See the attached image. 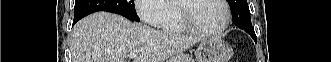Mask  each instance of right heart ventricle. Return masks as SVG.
<instances>
[{"instance_id":"1","label":"right heart ventricle","mask_w":331,"mask_h":62,"mask_svg":"<svg viewBox=\"0 0 331 62\" xmlns=\"http://www.w3.org/2000/svg\"><path fill=\"white\" fill-rule=\"evenodd\" d=\"M164 8L168 12V20L160 29L165 32H184L186 29L180 22L176 4L171 1L169 4H166Z\"/></svg>"}]
</instances>
